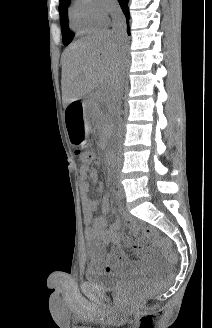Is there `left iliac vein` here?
<instances>
[{
  "label": "left iliac vein",
  "instance_id": "left-iliac-vein-1",
  "mask_svg": "<svg viewBox=\"0 0 212 328\" xmlns=\"http://www.w3.org/2000/svg\"><path fill=\"white\" fill-rule=\"evenodd\" d=\"M120 192L122 195H124V190H123V187L120 186Z\"/></svg>",
  "mask_w": 212,
  "mask_h": 328
}]
</instances>
